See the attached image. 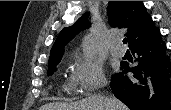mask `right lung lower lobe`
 Returning a JSON list of instances; mask_svg holds the SVG:
<instances>
[{
	"label": "right lung lower lobe",
	"instance_id": "obj_1",
	"mask_svg": "<svg viewBox=\"0 0 171 110\" xmlns=\"http://www.w3.org/2000/svg\"><path fill=\"white\" fill-rule=\"evenodd\" d=\"M130 49L136 64L121 63L125 70L111 80L114 95L131 110H170L171 63L160 32Z\"/></svg>",
	"mask_w": 171,
	"mask_h": 110
}]
</instances>
